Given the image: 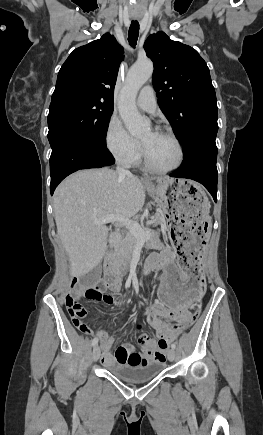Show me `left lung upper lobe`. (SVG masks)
Instances as JSON below:
<instances>
[{
  "label": "left lung upper lobe",
  "instance_id": "1",
  "mask_svg": "<svg viewBox=\"0 0 263 435\" xmlns=\"http://www.w3.org/2000/svg\"><path fill=\"white\" fill-rule=\"evenodd\" d=\"M144 49L154 63L158 104L184 150L198 139L216 137V94L199 53L163 32L150 35Z\"/></svg>",
  "mask_w": 263,
  "mask_h": 435
}]
</instances>
